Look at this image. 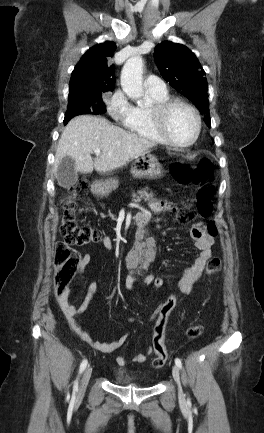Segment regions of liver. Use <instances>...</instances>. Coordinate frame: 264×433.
<instances>
[{"mask_svg":"<svg viewBox=\"0 0 264 433\" xmlns=\"http://www.w3.org/2000/svg\"><path fill=\"white\" fill-rule=\"evenodd\" d=\"M152 141L112 125L103 117L81 115L73 118L65 127L55 154L54 173L60 161L71 157L75 169L81 173H107L126 165L154 147ZM100 149L94 159L91 153Z\"/></svg>","mask_w":264,"mask_h":433,"instance_id":"1","label":"liver"}]
</instances>
